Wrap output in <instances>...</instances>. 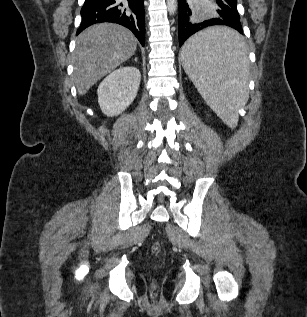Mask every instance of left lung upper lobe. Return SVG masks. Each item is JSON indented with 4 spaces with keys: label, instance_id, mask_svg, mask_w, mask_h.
I'll return each mask as SVG.
<instances>
[{
    "label": "left lung upper lobe",
    "instance_id": "obj_1",
    "mask_svg": "<svg viewBox=\"0 0 307 317\" xmlns=\"http://www.w3.org/2000/svg\"><path fill=\"white\" fill-rule=\"evenodd\" d=\"M233 1L237 3V0H233Z\"/></svg>",
    "mask_w": 307,
    "mask_h": 317
}]
</instances>
